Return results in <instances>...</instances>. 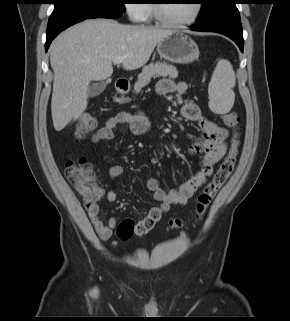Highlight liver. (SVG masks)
<instances>
[{
    "label": "liver",
    "mask_w": 290,
    "mask_h": 321,
    "mask_svg": "<svg viewBox=\"0 0 290 321\" xmlns=\"http://www.w3.org/2000/svg\"><path fill=\"white\" fill-rule=\"evenodd\" d=\"M170 33L111 19L86 20L62 32L49 49L54 71L51 113L55 130L61 131L83 114L90 82L109 78L114 58L123 57L126 70L138 69Z\"/></svg>",
    "instance_id": "1"
}]
</instances>
